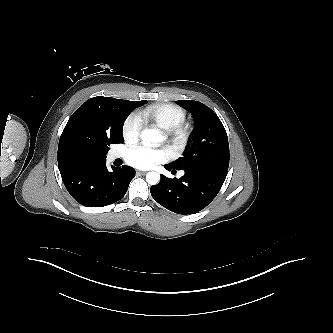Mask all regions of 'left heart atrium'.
<instances>
[{
  "mask_svg": "<svg viewBox=\"0 0 333 333\" xmlns=\"http://www.w3.org/2000/svg\"><path fill=\"white\" fill-rule=\"evenodd\" d=\"M125 159L128 164L139 168L148 169L168 159L164 149H152L145 146H135L126 151Z\"/></svg>",
  "mask_w": 333,
  "mask_h": 333,
  "instance_id": "39dd6f15",
  "label": "left heart atrium"
}]
</instances>
